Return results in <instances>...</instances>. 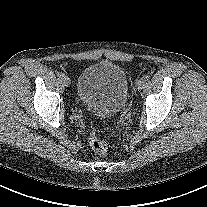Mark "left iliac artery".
I'll use <instances>...</instances> for the list:
<instances>
[{
	"label": "left iliac artery",
	"mask_w": 207,
	"mask_h": 207,
	"mask_svg": "<svg viewBox=\"0 0 207 207\" xmlns=\"http://www.w3.org/2000/svg\"><path fill=\"white\" fill-rule=\"evenodd\" d=\"M142 79H143L144 81H147V80L149 79V76H148V75H144V76L142 77Z\"/></svg>",
	"instance_id": "44dca946"
}]
</instances>
